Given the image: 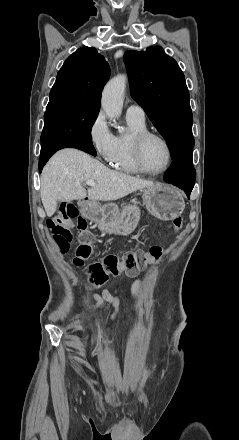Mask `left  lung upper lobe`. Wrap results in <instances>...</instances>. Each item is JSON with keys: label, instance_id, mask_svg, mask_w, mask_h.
<instances>
[{"label": "left lung upper lobe", "instance_id": "1", "mask_svg": "<svg viewBox=\"0 0 239 440\" xmlns=\"http://www.w3.org/2000/svg\"><path fill=\"white\" fill-rule=\"evenodd\" d=\"M131 95L169 144L172 157L192 149L193 116L185 77L177 62L159 46L127 51Z\"/></svg>", "mask_w": 239, "mask_h": 440}]
</instances>
